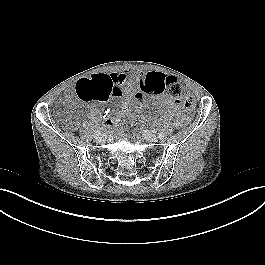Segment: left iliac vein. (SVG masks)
I'll return each instance as SVG.
<instances>
[{"mask_svg":"<svg viewBox=\"0 0 265 265\" xmlns=\"http://www.w3.org/2000/svg\"><path fill=\"white\" fill-rule=\"evenodd\" d=\"M143 137L145 138V140H147L148 142H157L158 138L156 135L152 134L149 131H145L143 133Z\"/></svg>","mask_w":265,"mask_h":265,"instance_id":"obj_1","label":"left iliac vein"}]
</instances>
